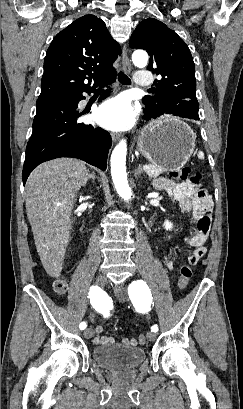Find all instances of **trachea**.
Returning a JSON list of instances; mask_svg holds the SVG:
<instances>
[{"label": "trachea", "mask_w": 243, "mask_h": 409, "mask_svg": "<svg viewBox=\"0 0 243 409\" xmlns=\"http://www.w3.org/2000/svg\"><path fill=\"white\" fill-rule=\"evenodd\" d=\"M118 80H119V82H121L124 85H130L131 84V80L123 72L119 73Z\"/></svg>", "instance_id": "1"}]
</instances>
